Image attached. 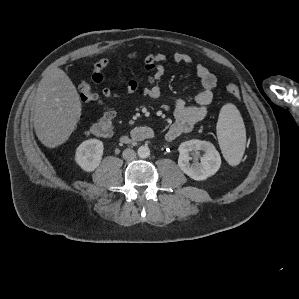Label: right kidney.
<instances>
[{
    "mask_svg": "<svg viewBox=\"0 0 299 299\" xmlns=\"http://www.w3.org/2000/svg\"><path fill=\"white\" fill-rule=\"evenodd\" d=\"M104 145L98 139L82 142L75 153V161L86 172L94 171L101 162Z\"/></svg>",
    "mask_w": 299,
    "mask_h": 299,
    "instance_id": "1",
    "label": "right kidney"
}]
</instances>
